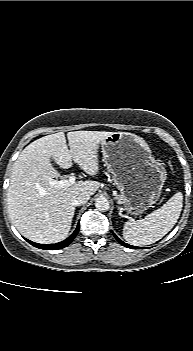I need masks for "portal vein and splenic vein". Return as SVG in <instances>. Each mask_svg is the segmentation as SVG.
Segmentation results:
<instances>
[{
	"label": "portal vein and splenic vein",
	"mask_w": 193,
	"mask_h": 351,
	"mask_svg": "<svg viewBox=\"0 0 193 351\" xmlns=\"http://www.w3.org/2000/svg\"><path fill=\"white\" fill-rule=\"evenodd\" d=\"M76 181V177L74 175H71L69 177V179H66V180H50L49 181V184L50 185H53V186H56V187H59V188H64V187H68L70 185H73Z\"/></svg>",
	"instance_id": "portal-vein-and-splenic-vein-1"
}]
</instances>
